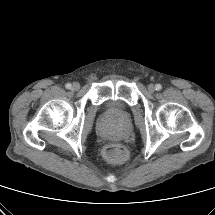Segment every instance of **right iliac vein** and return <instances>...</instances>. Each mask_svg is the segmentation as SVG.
Segmentation results:
<instances>
[{"mask_svg":"<svg viewBox=\"0 0 215 215\" xmlns=\"http://www.w3.org/2000/svg\"><path fill=\"white\" fill-rule=\"evenodd\" d=\"M72 89L75 90V91L79 90L80 89V84L77 83V82L73 83Z\"/></svg>","mask_w":215,"mask_h":215,"instance_id":"1","label":"right iliac vein"}]
</instances>
